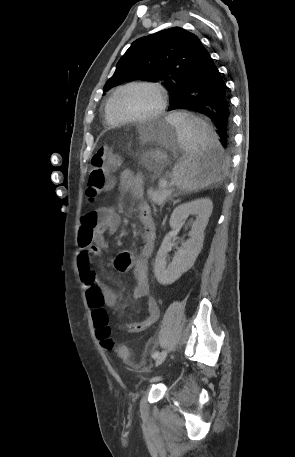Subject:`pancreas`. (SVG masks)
Returning <instances> with one entry per match:
<instances>
[{"label":"pancreas","instance_id":"obj_1","mask_svg":"<svg viewBox=\"0 0 295 457\" xmlns=\"http://www.w3.org/2000/svg\"><path fill=\"white\" fill-rule=\"evenodd\" d=\"M149 199H151L156 204H163V202L170 196L171 190L169 187L162 186L159 184L158 189H148L147 191Z\"/></svg>","mask_w":295,"mask_h":457}]
</instances>
